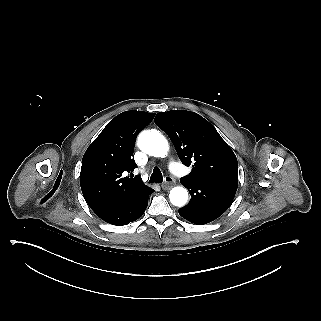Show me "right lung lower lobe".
Wrapping results in <instances>:
<instances>
[{"instance_id": "98d812e1", "label": "right lung lower lobe", "mask_w": 321, "mask_h": 321, "mask_svg": "<svg viewBox=\"0 0 321 321\" xmlns=\"http://www.w3.org/2000/svg\"><path fill=\"white\" fill-rule=\"evenodd\" d=\"M154 192L146 187L131 198L117 205L96 211L95 214L112 225H125L142 216L148 205V197Z\"/></svg>"}]
</instances>
